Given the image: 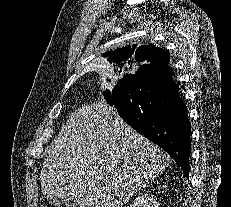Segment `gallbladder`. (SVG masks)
<instances>
[{"label":"gallbladder","mask_w":231,"mask_h":207,"mask_svg":"<svg viewBox=\"0 0 231 207\" xmlns=\"http://www.w3.org/2000/svg\"><path fill=\"white\" fill-rule=\"evenodd\" d=\"M64 201L66 204H68L70 207H76V202L74 201V198L72 196H68L64 198Z\"/></svg>","instance_id":"bac80fb5"}]
</instances>
